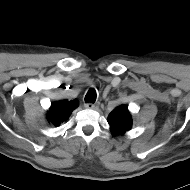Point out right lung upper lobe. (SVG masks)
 I'll return each instance as SVG.
<instances>
[{"mask_svg":"<svg viewBox=\"0 0 190 190\" xmlns=\"http://www.w3.org/2000/svg\"><path fill=\"white\" fill-rule=\"evenodd\" d=\"M77 106V99L54 102L51 104V107L47 112V119L54 126H59L60 123L68 119L72 111L77 108Z\"/></svg>","mask_w":190,"mask_h":190,"instance_id":"obj_1","label":"right lung upper lobe"}]
</instances>
